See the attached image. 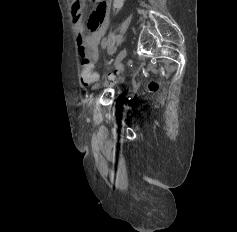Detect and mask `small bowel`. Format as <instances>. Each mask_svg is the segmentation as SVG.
I'll return each mask as SVG.
<instances>
[{"label": "small bowel", "mask_w": 237, "mask_h": 232, "mask_svg": "<svg viewBox=\"0 0 237 232\" xmlns=\"http://www.w3.org/2000/svg\"><path fill=\"white\" fill-rule=\"evenodd\" d=\"M96 8L92 11L88 26H85L83 10L85 0H72V15L77 31V50L80 61H96L99 57V45L107 30L113 0H93Z\"/></svg>", "instance_id": "obj_1"}]
</instances>
